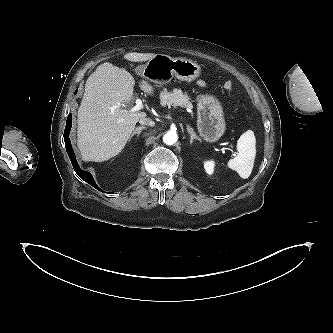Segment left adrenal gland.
I'll return each mask as SVG.
<instances>
[{
	"instance_id": "left-adrenal-gland-1",
	"label": "left adrenal gland",
	"mask_w": 333,
	"mask_h": 333,
	"mask_svg": "<svg viewBox=\"0 0 333 333\" xmlns=\"http://www.w3.org/2000/svg\"><path fill=\"white\" fill-rule=\"evenodd\" d=\"M187 131L191 135L190 143L192 144L194 140L201 141V139L196 135V133L193 131V129L188 125Z\"/></svg>"
}]
</instances>
